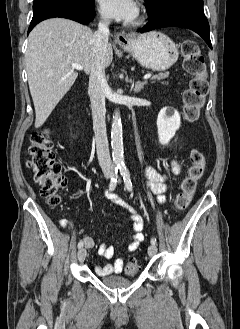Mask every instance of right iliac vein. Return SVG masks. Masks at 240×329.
Wrapping results in <instances>:
<instances>
[{"label":"right iliac vein","mask_w":240,"mask_h":329,"mask_svg":"<svg viewBox=\"0 0 240 329\" xmlns=\"http://www.w3.org/2000/svg\"><path fill=\"white\" fill-rule=\"evenodd\" d=\"M86 255H87V251L85 248H81L79 251H78V260L79 261H83L85 258H86Z\"/></svg>","instance_id":"obj_1"}]
</instances>
